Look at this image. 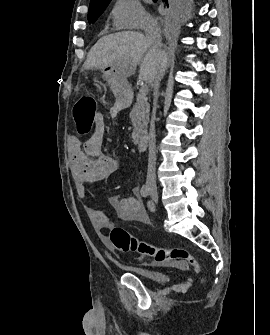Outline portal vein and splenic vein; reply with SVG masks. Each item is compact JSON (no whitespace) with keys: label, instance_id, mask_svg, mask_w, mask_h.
<instances>
[{"label":"portal vein and splenic vein","instance_id":"obj_1","mask_svg":"<svg viewBox=\"0 0 270 335\" xmlns=\"http://www.w3.org/2000/svg\"><path fill=\"white\" fill-rule=\"evenodd\" d=\"M149 91V88L147 86H141L139 93H147Z\"/></svg>","mask_w":270,"mask_h":335}]
</instances>
